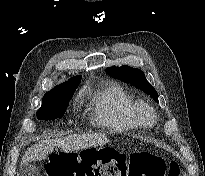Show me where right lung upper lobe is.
<instances>
[{"label": "right lung upper lobe", "instance_id": "1", "mask_svg": "<svg viewBox=\"0 0 205 176\" xmlns=\"http://www.w3.org/2000/svg\"><path fill=\"white\" fill-rule=\"evenodd\" d=\"M81 80V76H75L71 79H69L67 82L59 84L57 86H55L52 90H50L49 92L45 93L44 96H48L57 92H61V91H66V90H75Z\"/></svg>", "mask_w": 205, "mask_h": 176}]
</instances>
